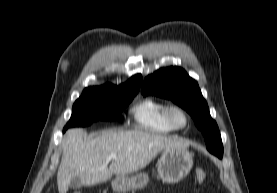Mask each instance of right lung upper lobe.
I'll use <instances>...</instances> for the list:
<instances>
[{
	"label": "right lung upper lobe",
	"instance_id": "cb5924a9",
	"mask_svg": "<svg viewBox=\"0 0 277 193\" xmlns=\"http://www.w3.org/2000/svg\"><path fill=\"white\" fill-rule=\"evenodd\" d=\"M141 82H142V76L135 75L131 77L126 83L121 84L119 86H115L112 84H105L102 86L88 87L85 90L102 92V93H131V92L137 93L140 88Z\"/></svg>",
	"mask_w": 277,
	"mask_h": 193
}]
</instances>
